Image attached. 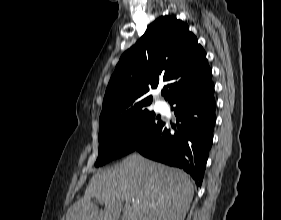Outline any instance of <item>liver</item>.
Instances as JSON below:
<instances>
[{"label": "liver", "instance_id": "6515ba94", "mask_svg": "<svg viewBox=\"0 0 281 220\" xmlns=\"http://www.w3.org/2000/svg\"><path fill=\"white\" fill-rule=\"evenodd\" d=\"M193 195V183L184 171L131 154L91 178L66 220H118L121 212L122 220H184ZM93 197L104 209H98Z\"/></svg>", "mask_w": 281, "mask_h": 220}]
</instances>
